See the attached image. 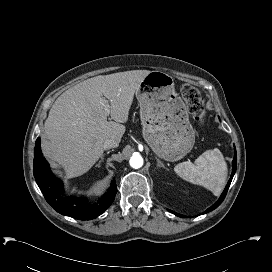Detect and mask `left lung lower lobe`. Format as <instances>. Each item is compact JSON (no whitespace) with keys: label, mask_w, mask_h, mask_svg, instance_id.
I'll return each mask as SVG.
<instances>
[{"label":"left lung lower lobe","mask_w":272,"mask_h":272,"mask_svg":"<svg viewBox=\"0 0 272 272\" xmlns=\"http://www.w3.org/2000/svg\"><path fill=\"white\" fill-rule=\"evenodd\" d=\"M232 165H233V169H232L231 178H230V180H229V182H228L226 188L224 189V191H223L221 197L219 198V200H218L213 206H211L210 208H208V209L205 211V213H207V212H209V211H212V210H214L215 208H217V207L222 203V201L224 200V198H225V196H226V193H227V191H228V188H229V186H230V183H231V181H232V178H233V176H234V173H235L236 167H237L236 150H235V156H234ZM170 212H172V213L175 214V215H178L179 217H184L183 215L177 214V213H175V212H173V211H170Z\"/></svg>","instance_id":"obj_1"}]
</instances>
